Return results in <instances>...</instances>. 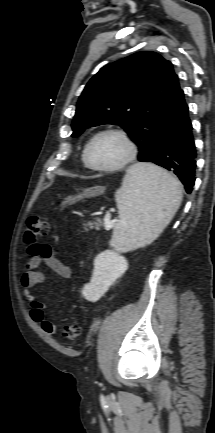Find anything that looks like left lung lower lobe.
Wrapping results in <instances>:
<instances>
[{
    "label": "left lung lower lobe",
    "mask_w": 215,
    "mask_h": 433,
    "mask_svg": "<svg viewBox=\"0 0 215 433\" xmlns=\"http://www.w3.org/2000/svg\"><path fill=\"white\" fill-rule=\"evenodd\" d=\"M183 91L173 105L169 122L163 130L151 161L177 175L188 194L195 182L196 147Z\"/></svg>",
    "instance_id": "obj_1"
}]
</instances>
